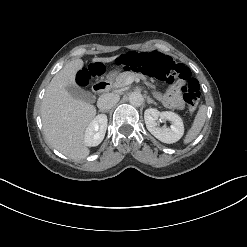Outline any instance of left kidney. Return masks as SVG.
Instances as JSON below:
<instances>
[{"mask_svg": "<svg viewBox=\"0 0 247 247\" xmlns=\"http://www.w3.org/2000/svg\"><path fill=\"white\" fill-rule=\"evenodd\" d=\"M158 118L170 121V128L157 126ZM144 120L148 131L163 143L177 142L184 134V125L180 116L171 111L160 112L155 108H149L144 112Z\"/></svg>", "mask_w": 247, "mask_h": 247, "instance_id": "5707ae66", "label": "left kidney"}]
</instances>
